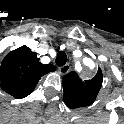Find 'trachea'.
<instances>
[{"instance_id": "obj_1", "label": "trachea", "mask_w": 124, "mask_h": 124, "mask_svg": "<svg viewBox=\"0 0 124 124\" xmlns=\"http://www.w3.org/2000/svg\"><path fill=\"white\" fill-rule=\"evenodd\" d=\"M55 62L57 66L65 65V63L67 62L66 53L64 51L58 52Z\"/></svg>"}]
</instances>
